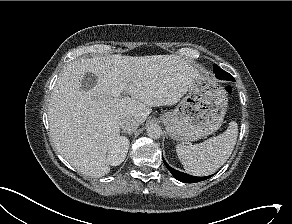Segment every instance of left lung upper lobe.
Wrapping results in <instances>:
<instances>
[{
	"mask_svg": "<svg viewBox=\"0 0 292 224\" xmlns=\"http://www.w3.org/2000/svg\"><path fill=\"white\" fill-rule=\"evenodd\" d=\"M217 69L220 70L221 68L219 66H217L216 64H214V71L217 70ZM223 74H224V77H227L228 78V80H233V77H231L230 75H228L229 73L228 74L223 73Z\"/></svg>",
	"mask_w": 292,
	"mask_h": 224,
	"instance_id": "obj_1",
	"label": "left lung upper lobe"
}]
</instances>
